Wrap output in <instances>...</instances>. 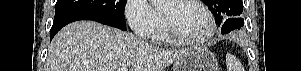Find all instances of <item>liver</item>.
<instances>
[{
  "label": "liver",
  "instance_id": "6515ba94",
  "mask_svg": "<svg viewBox=\"0 0 301 71\" xmlns=\"http://www.w3.org/2000/svg\"><path fill=\"white\" fill-rule=\"evenodd\" d=\"M187 51L167 50L128 32L93 21H77L53 38L45 71H163Z\"/></svg>",
  "mask_w": 301,
  "mask_h": 71
}]
</instances>
